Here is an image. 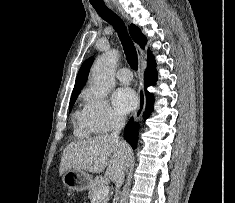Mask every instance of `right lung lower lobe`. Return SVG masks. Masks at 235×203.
I'll list each match as a JSON object with an SVG mask.
<instances>
[{
    "mask_svg": "<svg viewBox=\"0 0 235 203\" xmlns=\"http://www.w3.org/2000/svg\"><path fill=\"white\" fill-rule=\"evenodd\" d=\"M157 80V71H156V62L154 57L147 62V69L144 73V86L146 94V110H145V119L149 117L151 111L153 110V95L149 93L146 88L150 85L155 84ZM137 130L138 124L133 122V118L130 119L128 124L125 127L124 139L133 147L136 148L137 143Z\"/></svg>",
    "mask_w": 235,
    "mask_h": 203,
    "instance_id": "1",
    "label": "right lung lower lobe"
}]
</instances>
